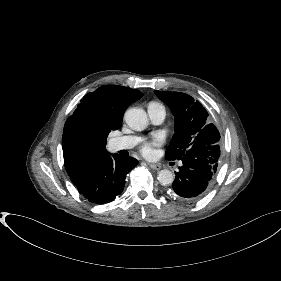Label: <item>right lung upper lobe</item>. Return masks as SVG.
I'll return each instance as SVG.
<instances>
[{"label": "right lung upper lobe", "mask_w": 281, "mask_h": 281, "mask_svg": "<svg viewBox=\"0 0 281 281\" xmlns=\"http://www.w3.org/2000/svg\"><path fill=\"white\" fill-rule=\"evenodd\" d=\"M142 96L143 94L136 89L105 85L87 94L74 113L87 111L95 122L106 125L111 130H117L121 126L123 112ZM104 152L106 150L86 157H77L69 153L63 145L64 164L68 175H74L90 160Z\"/></svg>", "instance_id": "obj_1"}]
</instances>
